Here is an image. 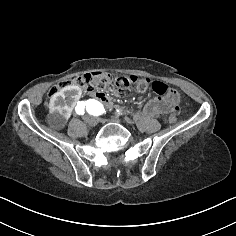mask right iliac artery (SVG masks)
<instances>
[{
	"label": "right iliac artery",
	"mask_w": 236,
	"mask_h": 236,
	"mask_svg": "<svg viewBox=\"0 0 236 236\" xmlns=\"http://www.w3.org/2000/svg\"><path fill=\"white\" fill-rule=\"evenodd\" d=\"M84 109H85V102L84 101L77 102V106L75 107L76 113L79 115H83L85 113Z\"/></svg>",
	"instance_id": "82829eb1"
}]
</instances>
